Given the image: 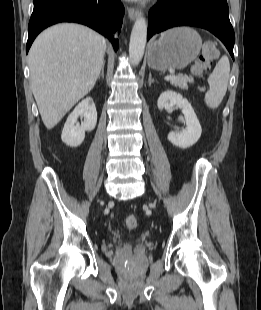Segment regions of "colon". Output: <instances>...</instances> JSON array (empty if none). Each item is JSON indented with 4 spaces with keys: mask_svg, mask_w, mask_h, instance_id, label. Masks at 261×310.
Listing matches in <instances>:
<instances>
[{
    "mask_svg": "<svg viewBox=\"0 0 261 310\" xmlns=\"http://www.w3.org/2000/svg\"><path fill=\"white\" fill-rule=\"evenodd\" d=\"M218 57V51L213 43H206L202 49L201 55L193 66V73L196 75L203 74L207 71L212 62ZM126 226L129 229L138 227V218L134 215H129L125 220Z\"/></svg>",
    "mask_w": 261,
    "mask_h": 310,
    "instance_id": "1",
    "label": "colon"
}]
</instances>
